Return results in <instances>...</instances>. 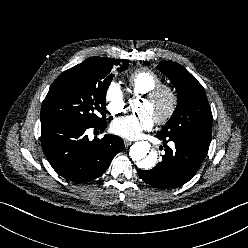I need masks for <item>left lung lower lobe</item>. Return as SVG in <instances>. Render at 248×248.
Listing matches in <instances>:
<instances>
[{"label":"left lung lower lobe","instance_id":"left-lung-lower-lobe-1","mask_svg":"<svg viewBox=\"0 0 248 248\" xmlns=\"http://www.w3.org/2000/svg\"><path fill=\"white\" fill-rule=\"evenodd\" d=\"M164 143L173 141L175 149H165L162 161L151 170L138 169L139 177L153 187L168 189L179 187L188 182L200 168L207 155L209 146L196 144L180 137H166L157 133Z\"/></svg>","mask_w":248,"mask_h":248}]
</instances>
